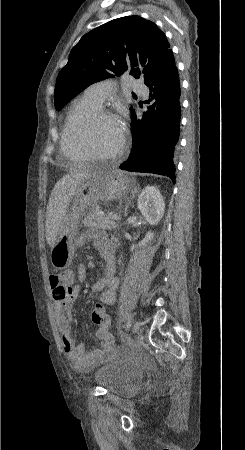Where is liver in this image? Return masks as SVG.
Segmentation results:
<instances>
[{"label": "liver", "instance_id": "6515ba94", "mask_svg": "<svg viewBox=\"0 0 245 450\" xmlns=\"http://www.w3.org/2000/svg\"><path fill=\"white\" fill-rule=\"evenodd\" d=\"M97 172L95 169L84 168L70 172L62 177L51 192L46 211V240L52 248L60 230L62 221L78 185Z\"/></svg>", "mask_w": 245, "mask_h": 450}]
</instances>
